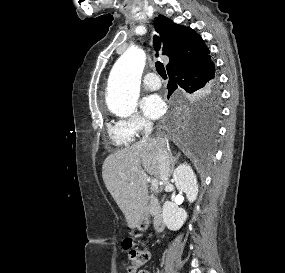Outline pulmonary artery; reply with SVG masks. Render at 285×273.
I'll use <instances>...</instances> for the list:
<instances>
[{"mask_svg": "<svg viewBox=\"0 0 285 273\" xmlns=\"http://www.w3.org/2000/svg\"><path fill=\"white\" fill-rule=\"evenodd\" d=\"M143 84L145 88L149 90H157L162 85L161 80L154 72H149L144 76Z\"/></svg>", "mask_w": 285, "mask_h": 273, "instance_id": "1", "label": "pulmonary artery"}]
</instances>
